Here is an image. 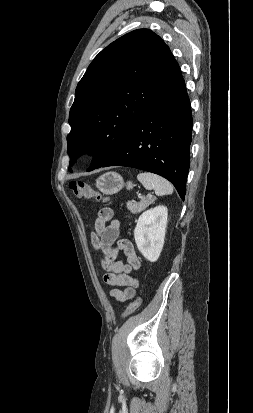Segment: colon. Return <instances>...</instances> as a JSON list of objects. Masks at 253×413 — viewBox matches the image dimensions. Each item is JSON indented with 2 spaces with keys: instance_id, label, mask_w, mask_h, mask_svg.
I'll list each match as a JSON object with an SVG mask.
<instances>
[{
  "instance_id": "1",
  "label": "colon",
  "mask_w": 253,
  "mask_h": 413,
  "mask_svg": "<svg viewBox=\"0 0 253 413\" xmlns=\"http://www.w3.org/2000/svg\"><path fill=\"white\" fill-rule=\"evenodd\" d=\"M69 188L77 198L95 199L97 201L109 202L108 197L102 195L100 192H98L96 189L85 182L71 181L69 183ZM141 303L142 300L140 297H137L135 300H133L123 313L122 318H127L132 315L140 307Z\"/></svg>"
}]
</instances>
